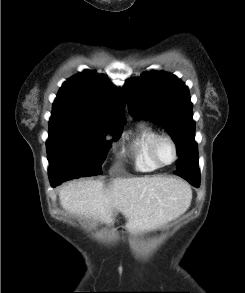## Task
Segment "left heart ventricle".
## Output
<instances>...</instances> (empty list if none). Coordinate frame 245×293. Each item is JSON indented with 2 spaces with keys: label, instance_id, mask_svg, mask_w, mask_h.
I'll return each mask as SVG.
<instances>
[{
  "label": "left heart ventricle",
  "instance_id": "obj_1",
  "mask_svg": "<svg viewBox=\"0 0 245 293\" xmlns=\"http://www.w3.org/2000/svg\"><path fill=\"white\" fill-rule=\"evenodd\" d=\"M158 154L163 162H170L173 158V149L170 143L167 141H162L158 146Z\"/></svg>",
  "mask_w": 245,
  "mask_h": 293
}]
</instances>
